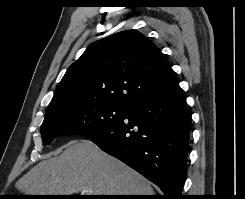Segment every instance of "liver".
<instances>
[{
  "label": "liver",
  "mask_w": 245,
  "mask_h": 199,
  "mask_svg": "<svg viewBox=\"0 0 245 199\" xmlns=\"http://www.w3.org/2000/svg\"><path fill=\"white\" fill-rule=\"evenodd\" d=\"M26 195H154L150 183L90 140L68 143L59 155L33 167L17 183ZM85 195V194H81Z\"/></svg>",
  "instance_id": "liver-1"
}]
</instances>
